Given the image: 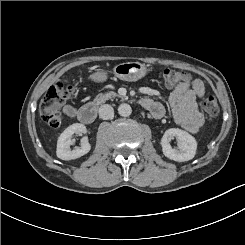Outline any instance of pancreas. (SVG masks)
Listing matches in <instances>:
<instances>
[{"label": "pancreas", "mask_w": 245, "mask_h": 245, "mask_svg": "<svg viewBox=\"0 0 245 245\" xmlns=\"http://www.w3.org/2000/svg\"><path fill=\"white\" fill-rule=\"evenodd\" d=\"M117 96L123 98L122 96L118 95L117 93H115V92H113V91H111V92H109V93H106V94L99 93V94L95 97L94 103H95L96 105H100V104L104 103L106 100H108V99H110V98H113V97H117Z\"/></svg>", "instance_id": "pancreas-1"}]
</instances>
